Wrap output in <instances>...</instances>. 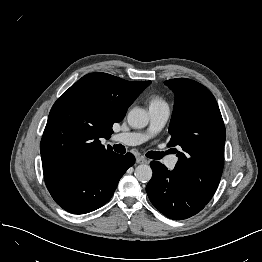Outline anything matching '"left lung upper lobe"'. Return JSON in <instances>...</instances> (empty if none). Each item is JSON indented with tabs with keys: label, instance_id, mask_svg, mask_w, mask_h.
<instances>
[{
	"label": "left lung upper lobe",
	"instance_id": "left-lung-upper-lobe-1",
	"mask_svg": "<svg viewBox=\"0 0 262 262\" xmlns=\"http://www.w3.org/2000/svg\"><path fill=\"white\" fill-rule=\"evenodd\" d=\"M175 94L169 147L179 145L173 175L207 204L220 182L226 130L213 94L186 78L165 81Z\"/></svg>",
	"mask_w": 262,
	"mask_h": 262
}]
</instances>
